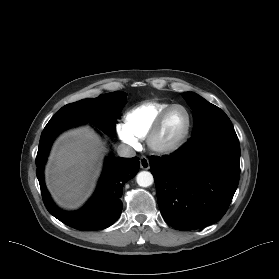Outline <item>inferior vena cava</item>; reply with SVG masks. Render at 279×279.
<instances>
[{"label":"inferior vena cava","mask_w":279,"mask_h":279,"mask_svg":"<svg viewBox=\"0 0 279 279\" xmlns=\"http://www.w3.org/2000/svg\"><path fill=\"white\" fill-rule=\"evenodd\" d=\"M117 153L120 157H134L136 152L131 146L120 144L117 148Z\"/></svg>","instance_id":"602c4592"}]
</instances>
